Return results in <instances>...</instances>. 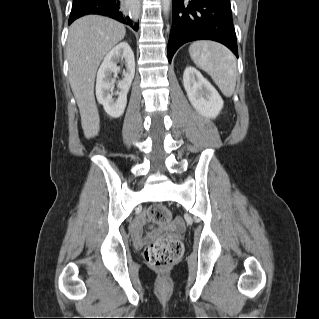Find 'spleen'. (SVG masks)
<instances>
[{
  "mask_svg": "<svg viewBox=\"0 0 319 319\" xmlns=\"http://www.w3.org/2000/svg\"><path fill=\"white\" fill-rule=\"evenodd\" d=\"M189 53L194 63L212 77L221 92L226 97L232 96L237 77L233 53L212 41L194 42L189 47Z\"/></svg>",
  "mask_w": 319,
  "mask_h": 319,
  "instance_id": "1",
  "label": "spleen"
}]
</instances>
